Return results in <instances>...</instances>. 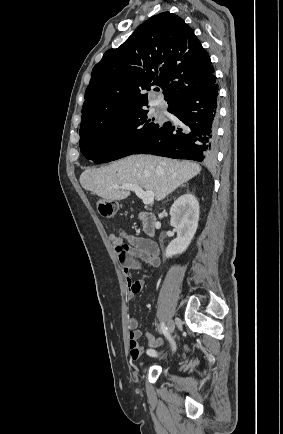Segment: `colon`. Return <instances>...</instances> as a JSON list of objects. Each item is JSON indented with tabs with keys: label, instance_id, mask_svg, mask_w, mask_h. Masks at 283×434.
Masks as SVG:
<instances>
[{
	"label": "colon",
	"instance_id": "1",
	"mask_svg": "<svg viewBox=\"0 0 283 434\" xmlns=\"http://www.w3.org/2000/svg\"><path fill=\"white\" fill-rule=\"evenodd\" d=\"M116 203L109 199H100L98 201V210L103 217L110 218L116 213Z\"/></svg>",
	"mask_w": 283,
	"mask_h": 434
}]
</instances>
